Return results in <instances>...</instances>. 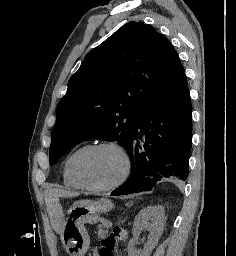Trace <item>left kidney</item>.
Segmentation results:
<instances>
[{
    "label": "left kidney",
    "mask_w": 236,
    "mask_h": 256,
    "mask_svg": "<svg viewBox=\"0 0 236 256\" xmlns=\"http://www.w3.org/2000/svg\"><path fill=\"white\" fill-rule=\"evenodd\" d=\"M149 218H151L152 224H148ZM164 222V206H149V208L141 210L135 218L133 240H130L127 248L128 256H150L152 250L157 246L160 236H162ZM141 230H148V232H151V236H149L148 242H146L143 250H137L135 244H137Z\"/></svg>",
    "instance_id": "1"
}]
</instances>
